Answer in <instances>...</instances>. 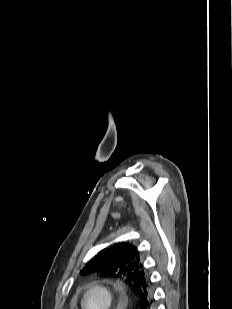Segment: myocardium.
<instances>
[{"label": "myocardium", "mask_w": 232, "mask_h": 309, "mask_svg": "<svg viewBox=\"0 0 232 309\" xmlns=\"http://www.w3.org/2000/svg\"><path fill=\"white\" fill-rule=\"evenodd\" d=\"M94 291L100 292L104 296L106 303L103 309H112L114 305V293L109 286L102 283H93L87 287L81 299V309L87 308L86 307L87 296Z\"/></svg>", "instance_id": "1"}]
</instances>
